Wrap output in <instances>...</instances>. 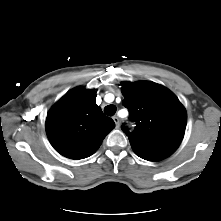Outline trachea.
Masks as SVG:
<instances>
[{"mask_svg": "<svg viewBox=\"0 0 221 221\" xmlns=\"http://www.w3.org/2000/svg\"><path fill=\"white\" fill-rule=\"evenodd\" d=\"M104 113L107 116H113L116 113V106L115 105H108L104 108Z\"/></svg>", "mask_w": 221, "mask_h": 221, "instance_id": "trachea-1", "label": "trachea"}]
</instances>
